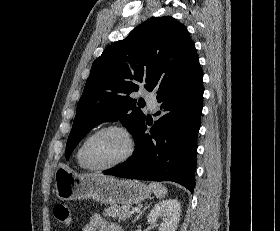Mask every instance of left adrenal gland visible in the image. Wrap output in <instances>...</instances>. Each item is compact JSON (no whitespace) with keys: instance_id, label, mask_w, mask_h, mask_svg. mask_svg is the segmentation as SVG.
Instances as JSON below:
<instances>
[{"instance_id":"left-adrenal-gland-1","label":"left adrenal gland","mask_w":280,"mask_h":231,"mask_svg":"<svg viewBox=\"0 0 280 231\" xmlns=\"http://www.w3.org/2000/svg\"><path fill=\"white\" fill-rule=\"evenodd\" d=\"M152 203V201H151ZM151 203H147V205H145V207H143V209H141V211H139L138 215H136V217H134L132 223H134V221H136V219H139L140 215H142L143 211H145V209H147V207H149V205H151Z\"/></svg>"}]
</instances>
